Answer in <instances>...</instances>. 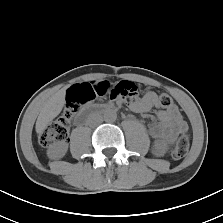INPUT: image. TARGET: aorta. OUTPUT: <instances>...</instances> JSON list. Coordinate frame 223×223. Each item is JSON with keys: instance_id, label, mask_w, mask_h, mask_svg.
<instances>
[{"instance_id": "obj_1", "label": "aorta", "mask_w": 223, "mask_h": 223, "mask_svg": "<svg viewBox=\"0 0 223 223\" xmlns=\"http://www.w3.org/2000/svg\"><path fill=\"white\" fill-rule=\"evenodd\" d=\"M103 118H104V120L106 122L112 123V122L116 121V119H117V113H116V111L111 110V109L110 110H106L104 112Z\"/></svg>"}]
</instances>
